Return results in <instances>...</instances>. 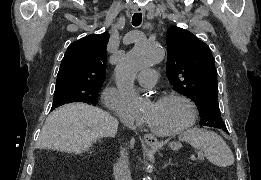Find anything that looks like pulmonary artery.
Masks as SVG:
<instances>
[{
  "instance_id": "obj_1",
  "label": "pulmonary artery",
  "mask_w": 261,
  "mask_h": 180,
  "mask_svg": "<svg viewBox=\"0 0 261 180\" xmlns=\"http://www.w3.org/2000/svg\"><path fill=\"white\" fill-rule=\"evenodd\" d=\"M157 78L158 73L155 69H150V67L143 69V73H139L137 76V81L141 83L139 84V89H152V84L157 81Z\"/></svg>"
}]
</instances>
